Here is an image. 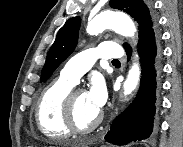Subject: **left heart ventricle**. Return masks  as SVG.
<instances>
[{"mask_svg":"<svg viewBox=\"0 0 183 147\" xmlns=\"http://www.w3.org/2000/svg\"><path fill=\"white\" fill-rule=\"evenodd\" d=\"M99 111L91 104L86 93H80L75 99L74 116L79 127L90 125Z\"/></svg>","mask_w":183,"mask_h":147,"instance_id":"1","label":"left heart ventricle"}]
</instances>
